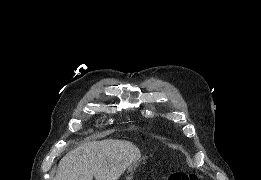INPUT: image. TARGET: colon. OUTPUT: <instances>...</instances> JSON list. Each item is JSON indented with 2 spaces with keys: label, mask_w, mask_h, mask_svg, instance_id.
I'll use <instances>...</instances> for the list:
<instances>
[{
  "label": "colon",
  "mask_w": 261,
  "mask_h": 180,
  "mask_svg": "<svg viewBox=\"0 0 261 180\" xmlns=\"http://www.w3.org/2000/svg\"><path fill=\"white\" fill-rule=\"evenodd\" d=\"M168 180H198V176L193 173H178L174 172L168 175Z\"/></svg>",
  "instance_id": "colon-1"
}]
</instances>
